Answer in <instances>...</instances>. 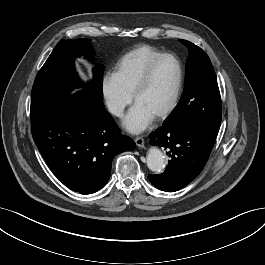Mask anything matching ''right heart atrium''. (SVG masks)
I'll use <instances>...</instances> for the list:
<instances>
[{
	"label": "right heart atrium",
	"mask_w": 265,
	"mask_h": 265,
	"mask_svg": "<svg viewBox=\"0 0 265 265\" xmlns=\"http://www.w3.org/2000/svg\"><path fill=\"white\" fill-rule=\"evenodd\" d=\"M101 94L108 112L115 117H121L131 103V96L121 88L112 74L102 78Z\"/></svg>",
	"instance_id": "right-heart-atrium-1"
}]
</instances>
